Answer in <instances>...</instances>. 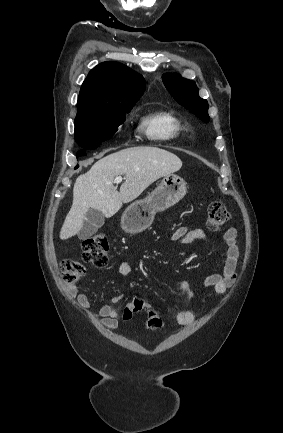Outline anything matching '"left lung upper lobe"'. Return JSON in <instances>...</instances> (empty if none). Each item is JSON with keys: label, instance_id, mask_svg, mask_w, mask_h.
Instances as JSON below:
<instances>
[{"label": "left lung upper lobe", "instance_id": "5c2ea615", "mask_svg": "<svg viewBox=\"0 0 283 433\" xmlns=\"http://www.w3.org/2000/svg\"><path fill=\"white\" fill-rule=\"evenodd\" d=\"M162 80L170 94L180 105L194 113L202 121L207 123L210 120L207 100L199 97L198 88L194 81L169 73L164 74Z\"/></svg>", "mask_w": 283, "mask_h": 433}]
</instances>
